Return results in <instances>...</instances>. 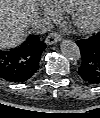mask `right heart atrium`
Returning a JSON list of instances; mask_svg holds the SVG:
<instances>
[{
    "instance_id": "right-heart-atrium-1",
    "label": "right heart atrium",
    "mask_w": 100,
    "mask_h": 118,
    "mask_svg": "<svg viewBox=\"0 0 100 118\" xmlns=\"http://www.w3.org/2000/svg\"><path fill=\"white\" fill-rule=\"evenodd\" d=\"M39 6L44 14L52 19H58L60 12L56 10L50 0H38Z\"/></svg>"
}]
</instances>
